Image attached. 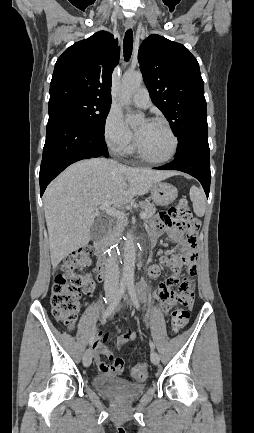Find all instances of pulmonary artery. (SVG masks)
Wrapping results in <instances>:
<instances>
[{
    "label": "pulmonary artery",
    "instance_id": "obj_1",
    "mask_svg": "<svg viewBox=\"0 0 254 433\" xmlns=\"http://www.w3.org/2000/svg\"><path fill=\"white\" fill-rule=\"evenodd\" d=\"M132 102L139 108H147L150 106V97L146 88H139L132 96Z\"/></svg>",
    "mask_w": 254,
    "mask_h": 433
}]
</instances>
